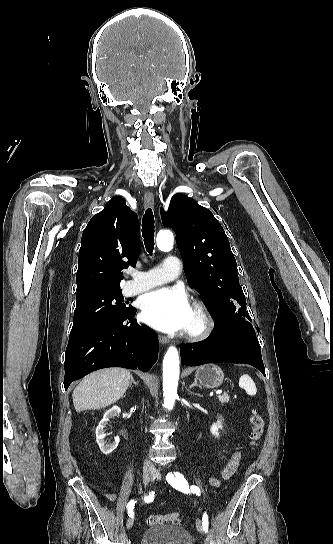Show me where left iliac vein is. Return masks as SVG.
Here are the masks:
<instances>
[{"mask_svg": "<svg viewBox=\"0 0 333 544\" xmlns=\"http://www.w3.org/2000/svg\"><path fill=\"white\" fill-rule=\"evenodd\" d=\"M159 479H160V472L155 471L154 474H153V480H159ZM196 528L201 534H203L204 529H203V526H202L201 519L196 520Z\"/></svg>", "mask_w": 333, "mask_h": 544, "instance_id": "4c4485c4", "label": "left iliac vein"}]
</instances>
